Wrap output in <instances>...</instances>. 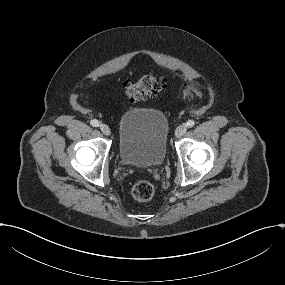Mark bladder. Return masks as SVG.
<instances>
[{"label": "bladder", "mask_w": 285, "mask_h": 285, "mask_svg": "<svg viewBox=\"0 0 285 285\" xmlns=\"http://www.w3.org/2000/svg\"><path fill=\"white\" fill-rule=\"evenodd\" d=\"M118 157L134 167L163 164L167 154L168 120L158 109H130L118 123Z\"/></svg>", "instance_id": "31cf9c89"}]
</instances>
